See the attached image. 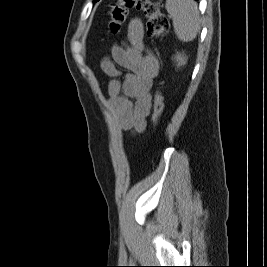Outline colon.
I'll return each instance as SVG.
<instances>
[{
	"label": "colon",
	"mask_w": 267,
	"mask_h": 267,
	"mask_svg": "<svg viewBox=\"0 0 267 267\" xmlns=\"http://www.w3.org/2000/svg\"><path fill=\"white\" fill-rule=\"evenodd\" d=\"M131 10L141 11L146 17V28L149 36L155 39L167 35L170 23L161 11L160 5L153 0H117L111 7L109 31L117 33L127 20ZM163 97L159 91L155 93L152 120L155 126L160 122L163 112Z\"/></svg>",
	"instance_id": "colon-1"
}]
</instances>
